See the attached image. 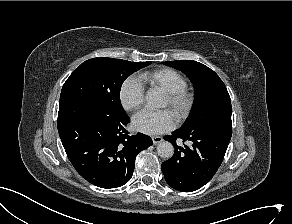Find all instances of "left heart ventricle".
Returning a JSON list of instances; mask_svg holds the SVG:
<instances>
[{"label": "left heart ventricle", "instance_id": "left-heart-ventricle-1", "mask_svg": "<svg viewBox=\"0 0 292 224\" xmlns=\"http://www.w3.org/2000/svg\"><path fill=\"white\" fill-rule=\"evenodd\" d=\"M162 106H163V107L168 106V100H167L166 97L164 98V101H163V105H162Z\"/></svg>", "mask_w": 292, "mask_h": 224}]
</instances>
